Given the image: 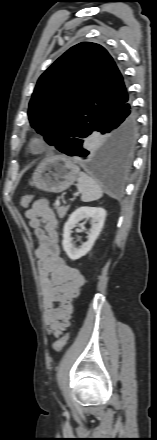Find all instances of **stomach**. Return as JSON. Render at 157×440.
I'll return each instance as SVG.
<instances>
[{"mask_svg": "<svg viewBox=\"0 0 157 440\" xmlns=\"http://www.w3.org/2000/svg\"><path fill=\"white\" fill-rule=\"evenodd\" d=\"M78 166L67 157L55 155L43 159L35 169L31 185L52 193L68 189L79 175Z\"/></svg>", "mask_w": 157, "mask_h": 440, "instance_id": "0dacf381", "label": "stomach"}]
</instances>
